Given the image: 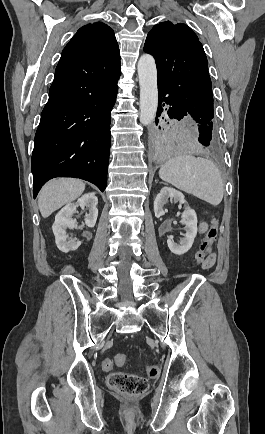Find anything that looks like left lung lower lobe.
Here are the masks:
<instances>
[{
	"label": "left lung lower lobe",
	"instance_id": "left-lung-lower-lobe-1",
	"mask_svg": "<svg viewBox=\"0 0 265 434\" xmlns=\"http://www.w3.org/2000/svg\"><path fill=\"white\" fill-rule=\"evenodd\" d=\"M158 96H159V109L156 116V124L160 122V115L163 111L165 104H169L171 107L168 110V116L171 119L181 120L183 118L191 120L194 124L196 135V148L205 154L218 153L221 150V142L218 137L215 124L212 123H200L198 118L192 116L186 109L183 102L172 95L164 86L158 84ZM154 148L158 153L169 155L177 153L181 150V147L175 142L158 138L154 142Z\"/></svg>",
	"mask_w": 265,
	"mask_h": 434
}]
</instances>
